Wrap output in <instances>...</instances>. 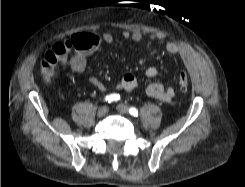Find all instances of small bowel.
I'll return each instance as SVG.
<instances>
[{
  "instance_id": "small-bowel-1",
  "label": "small bowel",
  "mask_w": 245,
  "mask_h": 187,
  "mask_svg": "<svg viewBox=\"0 0 245 187\" xmlns=\"http://www.w3.org/2000/svg\"><path fill=\"white\" fill-rule=\"evenodd\" d=\"M121 37L125 41L140 42L144 39V34L140 31H123ZM148 38L152 41L163 42L166 39V35L163 32H152L148 34ZM93 40L109 44L114 41V36L106 32L101 35L92 36L85 43L90 47ZM165 49L169 54L179 55L188 66L193 65L195 61L194 52L182 43L169 41L166 43ZM87 64V56L82 52H75L61 62L62 66H69L75 72H83L87 68ZM157 74L158 69L155 66H149L145 71V75L149 79L156 77ZM90 83L101 91H106L107 89L106 85L96 78H91ZM137 85V77L127 73L117 83L116 88L122 91H132ZM146 93L148 96L159 101L169 102L174 97L175 91L172 87L165 88L161 83L151 82L146 86Z\"/></svg>"
}]
</instances>
